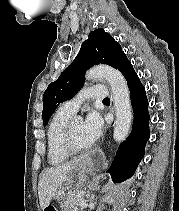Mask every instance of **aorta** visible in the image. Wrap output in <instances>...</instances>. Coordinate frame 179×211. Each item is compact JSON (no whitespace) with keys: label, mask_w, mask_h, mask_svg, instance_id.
<instances>
[{"label":"aorta","mask_w":179,"mask_h":211,"mask_svg":"<svg viewBox=\"0 0 179 211\" xmlns=\"http://www.w3.org/2000/svg\"><path fill=\"white\" fill-rule=\"evenodd\" d=\"M87 80L105 79L112 92L115 124L113 138L116 142L123 141L129 134L132 120L130 96L127 83L120 71L108 65H98L87 71Z\"/></svg>","instance_id":"obj_1"}]
</instances>
